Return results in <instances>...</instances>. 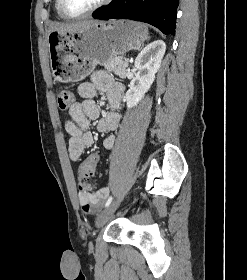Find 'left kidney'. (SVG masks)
Wrapping results in <instances>:
<instances>
[{
    "label": "left kidney",
    "instance_id": "obj_1",
    "mask_svg": "<svg viewBox=\"0 0 247 280\" xmlns=\"http://www.w3.org/2000/svg\"><path fill=\"white\" fill-rule=\"evenodd\" d=\"M166 51V44L156 40L148 44L137 56L134 66L137 70L126 92L127 108L135 107L150 89Z\"/></svg>",
    "mask_w": 247,
    "mask_h": 280
}]
</instances>
